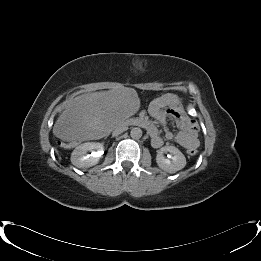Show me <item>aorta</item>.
I'll list each match as a JSON object with an SVG mask.
<instances>
[{
    "mask_svg": "<svg viewBox=\"0 0 261 261\" xmlns=\"http://www.w3.org/2000/svg\"><path fill=\"white\" fill-rule=\"evenodd\" d=\"M130 136L133 139H140L142 137V130L139 127H134L131 129Z\"/></svg>",
    "mask_w": 261,
    "mask_h": 261,
    "instance_id": "obj_1",
    "label": "aorta"
}]
</instances>
